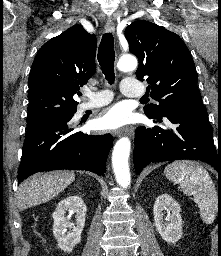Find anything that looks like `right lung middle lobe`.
Listing matches in <instances>:
<instances>
[{
  "mask_svg": "<svg viewBox=\"0 0 221 256\" xmlns=\"http://www.w3.org/2000/svg\"><path fill=\"white\" fill-rule=\"evenodd\" d=\"M74 113L75 112L59 110V111H51V112L33 114L31 116H28L27 130H31V129L38 127L39 125H42L51 120L61 119V118L72 116V115H74Z\"/></svg>",
  "mask_w": 221,
  "mask_h": 256,
  "instance_id": "dd1d6c3e",
  "label": "right lung middle lobe"
}]
</instances>
